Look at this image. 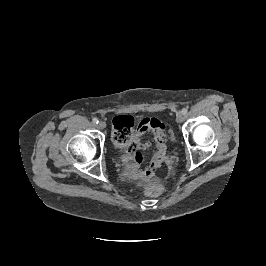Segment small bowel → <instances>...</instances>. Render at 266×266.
<instances>
[{"mask_svg":"<svg viewBox=\"0 0 266 266\" xmlns=\"http://www.w3.org/2000/svg\"><path fill=\"white\" fill-rule=\"evenodd\" d=\"M134 119L130 115H119L112 120V140L121 150L127 152L131 162L126 166V174L130 178L148 179L162 165L166 155V127L156 118L142 119L136 130L133 129ZM153 134L152 141H143L146 133ZM154 148V154L145 170L140 169L143 152Z\"/></svg>","mask_w":266,"mask_h":266,"instance_id":"small-bowel-1","label":"small bowel"}]
</instances>
